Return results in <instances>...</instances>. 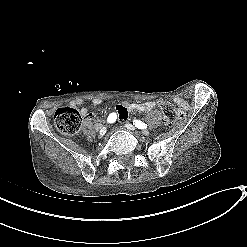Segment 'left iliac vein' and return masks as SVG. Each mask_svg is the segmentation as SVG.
I'll use <instances>...</instances> for the list:
<instances>
[{"mask_svg":"<svg viewBox=\"0 0 247 247\" xmlns=\"http://www.w3.org/2000/svg\"><path fill=\"white\" fill-rule=\"evenodd\" d=\"M125 127L130 131H135V127L130 123L125 124ZM145 133L148 134L149 132L146 131Z\"/></svg>","mask_w":247,"mask_h":247,"instance_id":"obj_1","label":"left iliac vein"}]
</instances>
